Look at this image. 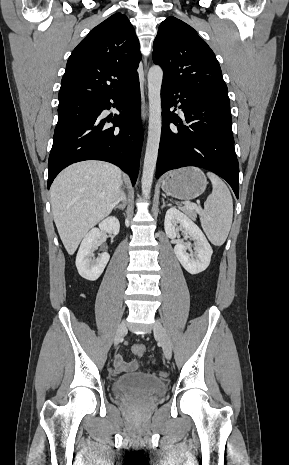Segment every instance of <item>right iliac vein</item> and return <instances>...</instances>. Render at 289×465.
I'll list each match as a JSON object with an SVG mask.
<instances>
[{
    "mask_svg": "<svg viewBox=\"0 0 289 465\" xmlns=\"http://www.w3.org/2000/svg\"><path fill=\"white\" fill-rule=\"evenodd\" d=\"M126 333V322L122 321V323L118 326L116 334H115V345H118L119 341L123 338Z\"/></svg>",
    "mask_w": 289,
    "mask_h": 465,
    "instance_id": "63e3f726",
    "label": "right iliac vein"
}]
</instances>
